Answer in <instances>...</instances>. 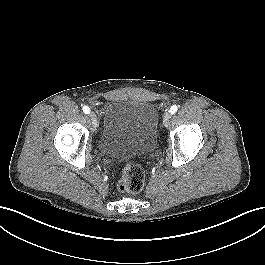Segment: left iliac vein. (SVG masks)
I'll return each instance as SVG.
<instances>
[{
    "instance_id": "4c4485c4",
    "label": "left iliac vein",
    "mask_w": 265,
    "mask_h": 265,
    "mask_svg": "<svg viewBox=\"0 0 265 265\" xmlns=\"http://www.w3.org/2000/svg\"><path fill=\"white\" fill-rule=\"evenodd\" d=\"M171 120V114L169 112H166L163 116V123H164V126H168L169 125V122Z\"/></svg>"
}]
</instances>
